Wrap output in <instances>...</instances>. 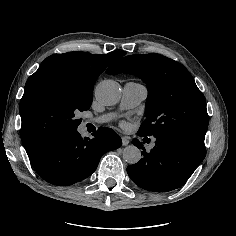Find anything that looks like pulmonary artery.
<instances>
[{"label":"pulmonary artery","instance_id":"e3ab8cb5","mask_svg":"<svg viewBox=\"0 0 236 236\" xmlns=\"http://www.w3.org/2000/svg\"><path fill=\"white\" fill-rule=\"evenodd\" d=\"M147 96V88L138 82H127L123 87L120 107L122 109L133 108L140 104ZM114 118V114H106L90 121L104 123Z\"/></svg>","mask_w":236,"mask_h":236}]
</instances>
